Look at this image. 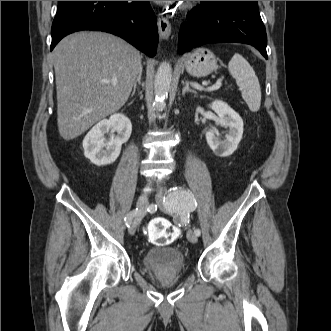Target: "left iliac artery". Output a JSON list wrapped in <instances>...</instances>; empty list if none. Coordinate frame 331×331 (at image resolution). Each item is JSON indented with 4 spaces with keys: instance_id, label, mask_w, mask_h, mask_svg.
Masks as SVG:
<instances>
[{
    "instance_id": "left-iliac-artery-1",
    "label": "left iliac artery",
    "mask_w": 331,
    "mask_h": 331,
    "mask_svg": "<svg viewBox=\"0 0 331 331\" xmlns=\"http://www.w3.org/2000/svg\"><path fill=\"white\" fill-rule=\"evenodd\" d=\"M163 202L169 212L179 215L185 221L188 220L190 213L197 206L192 193L182 187L173 188ZM195 234L199 236L201 234L200 230L196 229Z\"/></svg>"
}]
</instances>
